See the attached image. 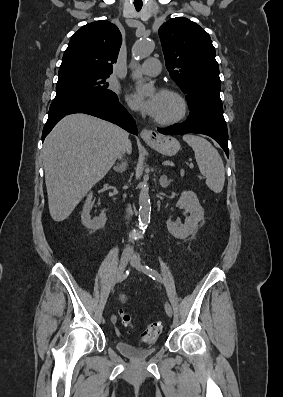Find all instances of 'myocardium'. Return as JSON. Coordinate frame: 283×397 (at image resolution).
Listing matches in <instances>:
<instances>
[{
  "instance_id": "myocardium-1",
  "label": "myocardium",
  "mask_w": 283,
  "mask_h": 397,
  "mask_svg": "<svg viewBox=\"0 0 283 397\" xmlns=\"http://www.w3.org/2000/svg\"><path fill=\"white\" fill-rule=\"evenodd\" d=\"M159 94H165L173 96L179 103L180 110L177 115L168 119H154V122L161 126H170L182 121L188 113V102L184 95L179 91L172 88H163L159 91Z\"/></svg>"
}]
</instances>
